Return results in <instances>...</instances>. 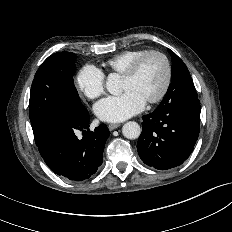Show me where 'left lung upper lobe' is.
Listing matches in <instances>:
<instances>
[{"label": "left lung upper lobe", "mask_w": 232, "mask_h": 232, "mask_svg": "<svg viewBox=\"0 0 232 232\" xmlns=\"http://www.w3.org/2000/svg\"><path fill=\"white\" fill-rule=\"evenodd\" d=\"M168 51L172 57V80L160 104L173 101L180 97L197 98V92L186 65L172 50L168 49Z\"/></svg>", "instance_id": "1"}]
</instances>
